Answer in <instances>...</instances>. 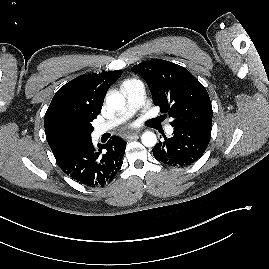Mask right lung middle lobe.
Instances as JSON below:
<instances>
[{
    "label": "right lung middle lobe",
    "mask_w": 269,
    "mask_h": 269,
    "mask_svg": "<svg viewBox=\"0 0 269 269\" xmlns=\"http://www.w3.org/2000/svg\"><path fill=\"white\" fill-rule=\"evenodd\" d=\"M92 131L93 127L91 124L79 127H71L65 134V149L70 151L76 147H80L88 143L91 141Z\"/></svg>",
    "instance_id": "right-lung-middle-lobe-1"
}]
</instances>
